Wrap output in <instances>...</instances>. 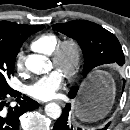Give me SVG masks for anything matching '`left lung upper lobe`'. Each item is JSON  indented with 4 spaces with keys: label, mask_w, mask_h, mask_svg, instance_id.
I'll use <instances>...</instances> for the list:
<instances>
[{
    "label": "left lung upper lobe",
    "mask_w": 130,
    "mask_h": 130,
    "mask_svg": "<svg viewBox=\"0 0 130 130\" xmlns=\"http://www.w3.org/2000/svg\"><path fill=\"white\" fill-rule=\"evenodd\" d=\"M53 28L75 39L81 46L84 56V76L97 66L114 62L122 66L125 62L124 53L116 36L96 23L75 20L55 24ZM78 89L79 87H74L70 93L77 94Z\"/></svg>",
    "instance_id": "obj_1"
}]
</instances>
